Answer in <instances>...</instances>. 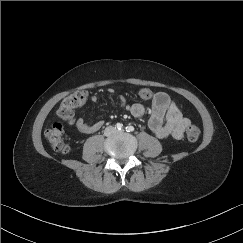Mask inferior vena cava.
Returning <instances> with one entry per match:
<instances>
[{"label": "inferior vena cava", "mask_w": 243, "mask_h": 243, "mask_svg": "<svg viewBox=\"0 0 243 243\" xmlns=\"http://www.w3.org/2000/svg\"><path fill=\"white\" fill-rule=\"evenodd\" d=\"M109 128H110V129H113L112 127H108L106 130H109Z\"/></svg>", "instance_id": "obj_1"}]
</instances>
